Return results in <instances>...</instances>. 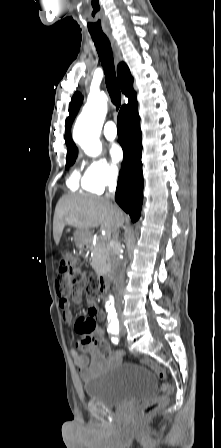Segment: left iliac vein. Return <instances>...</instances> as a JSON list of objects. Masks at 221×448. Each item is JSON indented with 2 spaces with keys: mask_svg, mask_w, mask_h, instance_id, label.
I'll return each mask as SVG.
<instances>
[{
  "mask_svg": "<svg viewBox=\"0 0 221 448\" xmlns=\"http://www.w3.org/2000/svg\"><path fill=\"white\" fill-rule=\"evenodd\" d=\"M126 333V329L125 327L122 325L121 326V334L124 335Z\"/></svg>",
  "mask_w": 221,
  "mask_h": 448,
  "instance_id": "obj_1",
  "label": "left iliac vein"
}]
</instances>
